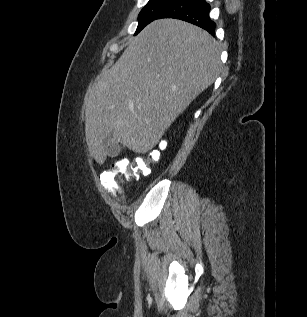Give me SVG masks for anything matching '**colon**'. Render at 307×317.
<instances>
[{
    "label": "colon",
    "mask_w": 307,
    "mask_h": 317,
    "mask_svg": "<svg viewBox=\"0 0 307 317\" xmlns=\"http://www.w3.org/2000/svg\"><path fill=\"white\" fill-rule=\"evenodd\" d=\"M166 147V141L160 140L154 149L143 156H138L133 160L119 159L112 163L110 169L100 175L102 187L116 197H123L120 183L124 180H132L139 175H147L152 164L159 159L160 152Z\"/></svg>",
    "instance_id": "obj_1"
}]
</instances>
